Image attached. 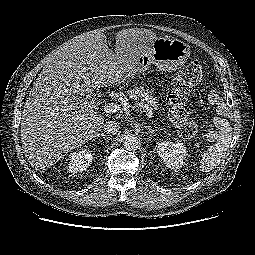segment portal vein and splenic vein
Segmentation results:
<instances>
[{
    "label": "portal vein and splenic vein",
    "instance_id": "portal-vein-and-splenic-vein-1",
    "mask_svg": "<svg viewBox=\"0 0 255 255\" xmlns=\"http://www.w3.org/2000/svg\"><path fill=\"white\" fill-rule=\"evenodd\" d=\"M144 108H145L146 115L149 118H152L153 110L148 105H145ZM120 110H121V108L118 104L108 103L104 106V111L108 114H114V113H117Z\"/></svg>",
    "mask_w": 255,
    "mask_h": 255
}]
</instances>
